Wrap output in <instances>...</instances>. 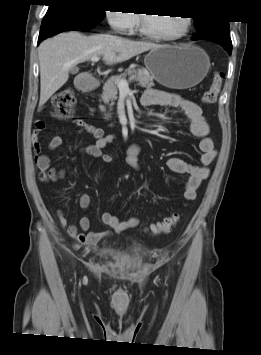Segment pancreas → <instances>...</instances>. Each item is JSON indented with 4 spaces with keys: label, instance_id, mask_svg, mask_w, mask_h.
Here are the masks:
<instances>
[{
    "label": "pancreas",
    "instance_id": "pancreas-1",
    "mask_svg": "<svg viewBox=\"0 0 261 355\" xmlns=\"http://www.w3.org/2000/svg\"><path fill=\"white\" fill-rule=\"evenodd\" d=\"M127 75L135 78V80L142 87L150 88V87L154 86V82H153L154 78L149 73L143 71L142 69L128 68L125 70L124 73L110 77L105 82V84L103 86V94L101 96V99L105 104H109L110 107H112L114 105V101L117 100V94H118L117 81L120 79L125 80ZM99 108L101 111L106 110L103 105H100ZM109 117H110L109 114H105L106 120H108Z\"/></svg>",
    "mask_w": 261,
    "mask_h": 355
}]
</instances>
